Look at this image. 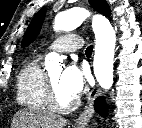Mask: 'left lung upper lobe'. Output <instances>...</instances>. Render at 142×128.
<instances>
[{
    "label": "left lung upper lobe",
    "mask_w": 142,
    "mask_h": 128,
    "mask_svg": "<svg viewBox=\"0 0 142 128\" xmlns=\"http://www.w3.org/2000/svg\"><path fill=\"white\" fill-rule=\"evenodd\" d=\"M90 5L99 13L110 16L111 12L105 0H89ZM46 8L41 9L32 19L22 40V47L29 45L39 34L45 18Z\"/></svg>",
    "instance_id": "obj_1"
}]
</instances>
